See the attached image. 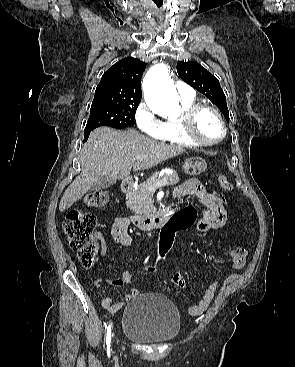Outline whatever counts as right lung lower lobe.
Here are the masks:
<instances>
[{
    "label": "right lung lower lobe",
    "mask_w": 295,
    "mask_h": 367,
    "mask_svg": "<svg viewBox=\"0 0 295 367\" xmlns=\"http://www.w3.org/2000/svg\"><path fill=\"white\" fill-rule=\"evenodd\" d=\"M88 137H89V135L85 137V140H87Z\"/></svg>",
    "instance_id": "1"
}]
</instances>
